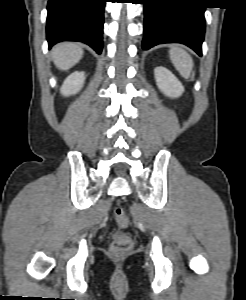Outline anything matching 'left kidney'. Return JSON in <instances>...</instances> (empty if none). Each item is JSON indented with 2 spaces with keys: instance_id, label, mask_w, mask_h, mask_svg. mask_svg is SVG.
<instances>
[{
  "instance_id": "5707ae66",
  "label": "left kidney",
  "mask_w": 246,
  "mask_h": 300,
  "mask_svg": "<svg viewBox=\"0 0 246 300\" xmlns=\"http://www.w3.org/2000/svg\"><path fill=\"white\" fill-rule=\"evenodd\" d=\"M154 75L158 88L166 96L170 98H178L184 92L182 83L165 67H156Z\"/></svg>"
}]
</instances>
